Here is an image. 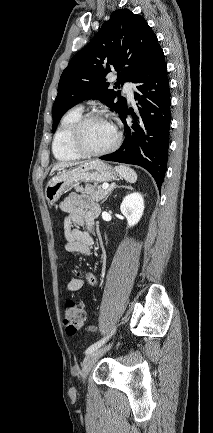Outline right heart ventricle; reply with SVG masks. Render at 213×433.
I'll return each instance as SVG.
<instances>
[{
    "instance_id": "right-heart-ventricle-1",
    "label": "right heart ventricle",
    "mask_w": 213,
    "mask_h": 433,
    "mask_svg": "<svg viewBox=\"0 0 213 433\" xmlns=\"http://www.w3.org/2000/svg\"><path fill=\"white\" fill-rule=\"evenodd\" d=\"M82 116V109L77 107L68 111L62 118L53 140V153L60 161H72L82 156L77 153L71 144V133L74 125Z\"/></svg>"
}]
</instances>
